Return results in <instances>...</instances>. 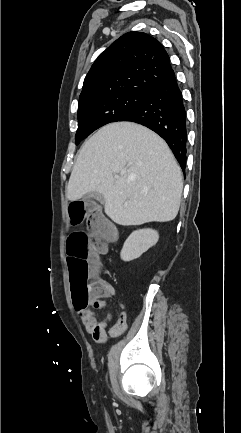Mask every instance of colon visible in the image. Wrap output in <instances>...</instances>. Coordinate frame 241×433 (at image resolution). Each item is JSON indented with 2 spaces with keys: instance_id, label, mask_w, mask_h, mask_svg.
<instances>
[{
  "instance_id": "1",
  "label": "colon",
  "mask_w": 241,
  "mask_h": 433,
  "mask_svg": "<svg viewBox=\"0 0 241 433\" xmlns=\"http://www.w3.org/2000/svg\"><path fill=\"white\" fill-rule=\"evenodd\" d=\"M70 226L75 228L81 221L88 220L94 240L85 232L70 235L67 244V266L71 272L70 288L75 310L86 312L91 301L103 293V286L97 274L98 253L103 251L107 241L113 239L111 224L106 218L105 205L100 200L69 202Z\"/></svg>"
}]
</instances>
